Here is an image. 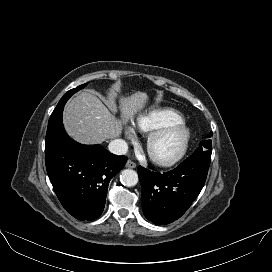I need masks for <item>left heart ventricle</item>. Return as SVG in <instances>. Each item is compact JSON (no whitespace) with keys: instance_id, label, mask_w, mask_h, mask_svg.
<instances>
[{"instance_id":"obj_1","label":"left heart ventricle","mask_w":272,"mask_h":272,"mask_svg":"<svg viewBox=\"0 0 272 272\" xmlns=\"http://www.w3.org/2000/svg\"><path fill=\"white\" fill-rule=\"evenodd\" d=\"M179 135H169L165 137L156 147V151L160 155H170L176 151L179 146Z\"/></svg>"}]
</instances>
